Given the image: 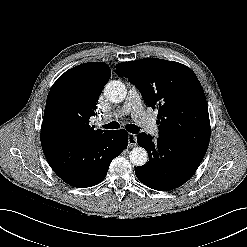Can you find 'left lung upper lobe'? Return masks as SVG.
I'll return each instance as SVG.
<instances>
[{
	"label": "left lung upper lobe",
	"mask_w": 247,
	"mask_h": 247,
	"mask_svg": "<svg viewBox=\"0 0 247 247\" xmlns=\"http://www.w3.org/2000/svg\"><path fill=\"white\" fill-rule=\"evenodd\" d=\"M142 94L146 104L158 110L159 137L208 148L210 121L203 88L187 66L163 59L145 58L116 65Z\"/></svg>",
	"instance_id": "1"
}]
</instances>
